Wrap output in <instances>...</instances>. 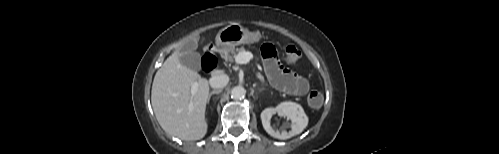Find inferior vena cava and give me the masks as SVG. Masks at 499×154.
<instances>
[{
	"label": "inferior vena cava",
	"instance_id": "obj_1",
	"mask_svg": "<svg viewBox=\"0 0 499 154\" xmlns=\"http://www.w3.org/2000/svg\"><path fill=\"white\" fill-rule=\"evenodd\" d=\"M229 82V77L225 74L215 75L210 78L209 83L210 86L214 89L224 88Z\"/></svg>",
	"mask_w": 499,
	"mask_h": 154
}]
</instances>
